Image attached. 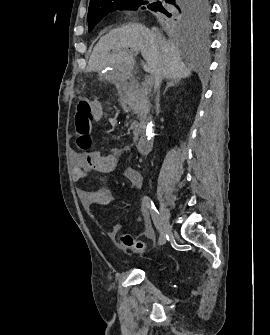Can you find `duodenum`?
<instances>
[{"mask_svg":"<svg viewBox=\"0 0 270 335\" xmlns=\"http://www.w3.org/2000/svg\"><path fill=\"white\" fill-rule=\"evenodd\" d=\"M122 104L125 110L141 115L146 124L150 113V103L145 90L136 82L128 80L120 84ZM152 131L145 127L137 140V149L141 154H148L152 148Z\"/></svg>","mask_w":270,"mask_h":335,"instance_id":"obj_1","label":"duodenum"}]
</instances>
